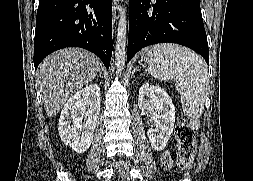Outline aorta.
Returning <instances> with one entry per match:
<instances>
[{
  "mask_svg": "<svg viewBox=\"0 0 253 181\" xmlns=\"http://www.w3.org/2000/svg\"><path fill=\"white\" fill-rule=\"evenodd\" d=\"M126 37H127L126 8H122L120 10V18L117 28L116 50H115V66L118 72H121L125 65Z\"/></svg>",
  "mask_w": 253,
  "mask_h": 181,
  "instance_id": "762f6f07",
  "label": "aorta"
}]
</instances>
